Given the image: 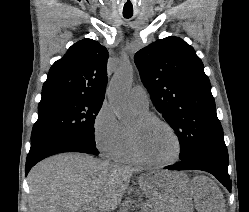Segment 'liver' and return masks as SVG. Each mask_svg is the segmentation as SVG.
<instances>
[{
  "mask_svg": "<svg viewBox=\"0 0 249 212\" xmlns=\"http://www.w3.org/2000/svg\"><path fill=\"white\" fill-rule=\"evenodd\" d=\"M143 168L118 166L88 154H58L36 164L28 174V204L32 212H101L116 210L134 172ZM138 184L156 212L164 210L172 192L186 190L197 212H226L225 200L215 182L206 176L189 180L186 174L167 170L141 174Z\"/></svg>",
  "mask_w": 249,
  "mask_h": 212,
  "instance_id": "6515ba94",
  "label": "liver"
}]
</instances>
